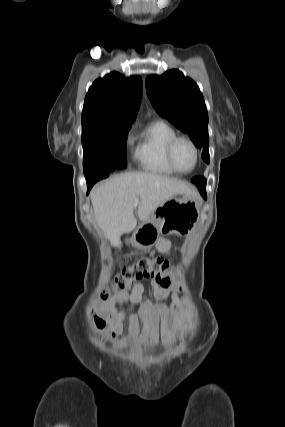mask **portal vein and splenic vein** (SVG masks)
I'll use <instances>...</instances> for the list:
<instances>
[{"label":"portal vein and splenic vein","mask_w":285,"mask_h":427,"mask_svg":"<svg viewBox=\"0 0 285 427\" xmlns=\"http://www.w3.org/2000/svg\"><path fill=\"white\" fill-rule=\"evenodd\" d=\"M139 204V198H135L133 205L136 207Z\"/></svg>","instance_id":"portal-vein-and-splenic-vein-1"}]
</instances>
